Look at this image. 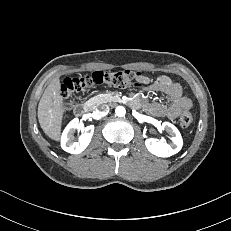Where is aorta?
I'll return each instance as SVG.
<instances>
[{
	"mask_svg": "<svg viewBox=\"0 0 231 231\" xmlns=\"http://www.w3.org/2000/svg\"><path fill=\"white\" fill-rule=\"evenodd\" d=\"M115 113L118 117H123L126 114V110L123 106H117L115 109Z\"/></svg>",
	"mask_w": 231,
	"mask_h": 231,
	"instance_id": "obj_1",
	"label": "aorta"
}]
</instances>
